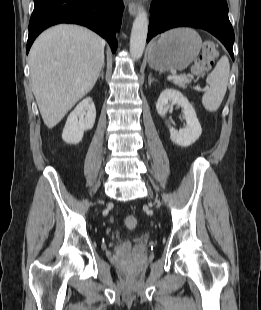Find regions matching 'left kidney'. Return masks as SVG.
<instances>
[{"label": "left kidney", "mask_w": 261, "mask_h": 310, "mask_svg": "<svg viewBox=\"0 0 261 310\" xmlns=\"http://www.w3.org/2000/svg\"><path fill=\"white\" fill-rule=\"evenodd\" d=\"M170 104H177L183 109L187 124L185 128L179 131L170 127V139L179 146L188 147L195 143L202 133V128L197 119L195 110L181 92L175 89H165L160 94L156 103L157 113L165 117Z\"/></svg>", "instance_id": "5707ae66"}]
</instances>
